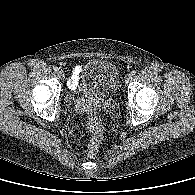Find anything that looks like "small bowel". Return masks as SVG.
I'll use <instances>...</instances> for the list:
<instances>
[{"label":"small bowel","instance_id":"c3829d8e","mask_svg":"<svg viewBox=\"0 0 195 195\" xmlns=\"http://www.w3.org/2000/svg\"><path fill=\"white\" fill-rule=\"evenodd\" d=\"M82 72V67L81 66H76L73 71H72V75L68 81V87L70 89H75L77 84H78V81H79V78H80V74Z\"/></svg>","mask_w":195,"mask_h":195}]
</instances>
